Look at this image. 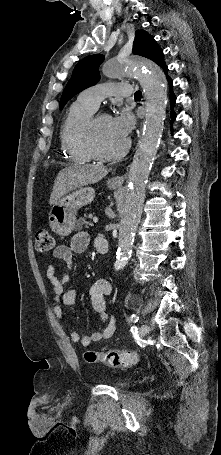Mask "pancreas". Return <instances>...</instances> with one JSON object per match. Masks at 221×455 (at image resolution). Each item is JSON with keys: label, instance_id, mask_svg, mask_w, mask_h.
Listing matches in <instances>:
<instances>
[{"label": "pancreas", "instance_id": "obj_1", "mask_svg": "<svg viewBox=\"0 0 221 455\" xmlns=\"http://www.w3.org/2000/svg\"><path fill=\"white\" fill-rule=\"evenodd\" d=\"M91 216H92L91 214H89L88 216L85 214L83 217L79 218V220L76 222L75 229L81 230L83 226H85L86 228L92 226V224L89 221H87V219L91 218Z\"/></svg>", "mask_w": 221, "mask_h": 455}]
</instances>
